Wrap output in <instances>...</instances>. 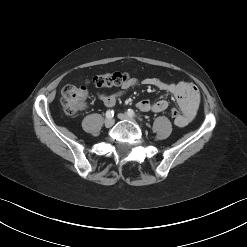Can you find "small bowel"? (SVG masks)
<instances>
[{
  "mask_svg": "<svg viewBox=\"0 0 247 247\" xmlns=\"http://www.w3.org/2000/svg\"><path fill=\"white\" fill-rule=\"evenodd\" d=\"M136 84V80L129 79L122 86V88L129 89ZM142 84L155 87L174 96L181 110V116L178 120L175 121L176 126L185 127L194 119L200 104V93L194 84L185 81L167 83L154 77L143 79ZM121 94L122 91L110 94L100 93L99 98L107 107H112L115 105L117 98ZM168 105V102L164 99H160L154 102L143 99L137 103V107L144 112H163L168 108Z\"/></svg>",
  "mask_w": 247,
  "mask_h": 247,
  "instance_id": "small-bowel-1",
  "label": "small bowel"
}]
</instances>
